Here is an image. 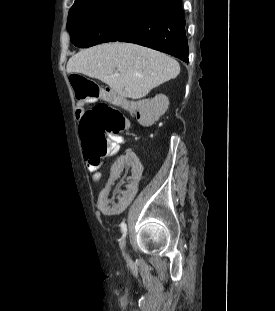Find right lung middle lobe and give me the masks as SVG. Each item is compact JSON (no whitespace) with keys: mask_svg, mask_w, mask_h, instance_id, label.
<instances>
[{"mask_svg":"<svg viewBox=\"0 0 275 311\" xmlns=\"http://www.w3.org/2000/svg\"><path fill=\"white\" fill-rule=\"evenodd\" d=\"M162 4L157 0H82L70 9L71 42L82 48L116 41L141 17Z\"/></svg>","mask_w":275,"mask_h":311,"instance_id":"1","label":"right lung middle lobe"}]
</instances>
